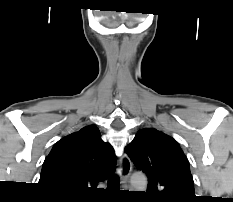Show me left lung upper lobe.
<instances>
[{
	"instance_id": "1",
	"label": "left lung upper lobe",
	"mask_w": 233,
	"mask_h": 202,
	"mask_svg": "<svg viewBox=\"0 0 233 202\" xmlns=\"http://www.w3.org/2000/svg\"><path fill=\"white\" fill-rule=\"evenodd\" d=\"M125 152L148 176L147 197L154 202H194L189 162L179 144L154 128L137 132Z\"/></svg>"
}]
</instances>
